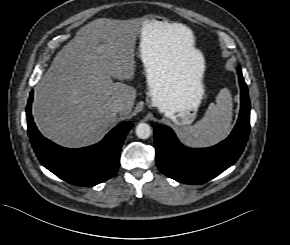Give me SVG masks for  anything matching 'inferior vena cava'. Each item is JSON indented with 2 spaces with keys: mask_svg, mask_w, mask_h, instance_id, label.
<instances>
[{
  "mask_svg": "<svg viewBox=\"0 0 290 245\" xmlns=\"http://www.w3.org/2000/svg\"><path fill=\"white\" fill-rule=\"evenodd\" d=\"M112 109L115 112H121L124 109V104L121 101H116V102L113 103Z\"/></svg>",
  "mask_w": 290,
  "mask_h": 245,
  "instance_id": "inferior-vena-cava-1",
  "label": "inferior vena cava"
}]
</instances>
